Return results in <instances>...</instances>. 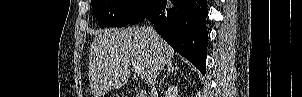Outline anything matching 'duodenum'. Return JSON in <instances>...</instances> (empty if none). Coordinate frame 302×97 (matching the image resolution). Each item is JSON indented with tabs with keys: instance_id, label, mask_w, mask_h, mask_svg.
<instances>
[{
	"instance_id": "obj_1",
	"label": "duodenum",
	"mask_w": 302,
	"mask_h": 97,
	"mask_svg": "<svg viewBox=\"0 0 302 97\" xmlns=\"http://www.w3.org/2000/svg\"><path fill=\"white\" fill-rule=\"evenodd\" d=\"M146 92L142 89L137 90L136 97H146Z\"/></svg>"
}]
</instances>
